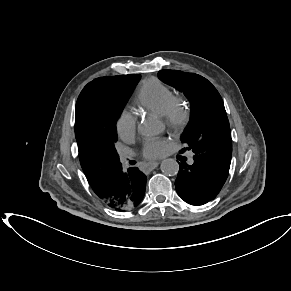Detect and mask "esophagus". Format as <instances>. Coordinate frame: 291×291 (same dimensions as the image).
Wrapping results in <instances>:
<instances>
[{
  "mask_svg": "<svg viewBox=\"0 0 291 291\" xmlns=\"http://www.w3.org/2000/svg\"><path fill=\"white\" fill-rule=\"evenodd\" d=\"M160 164V162L156 161V162H150L148 163L147 167L152 170L154 168H156L158 165Z\"/></svg>",
  "mask_w": 291,
  "mask_h": 291,
  "instance_id": "34e87169",
  "label": "esophagus"
}]
</instances>
